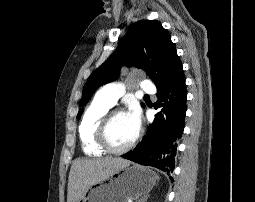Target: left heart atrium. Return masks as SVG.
<instances>
[{
  "label": "left heart atrium",
  "mask_w": 255,
  "mask_h": 202,
  "mask_svg": "<svg viewBox=\"0 0 255 202\" xmlns=\"http://www.w3.org/2000/svg\"><path fill=\"white\" fill-rule=\"evenodd\" d=\"M127 118L132 123V125L138 130L141 124V116L139 109L132 105L126 113Z\"/></svg>",
  "instance_id": "39dd6f15"
}]
</instances>
